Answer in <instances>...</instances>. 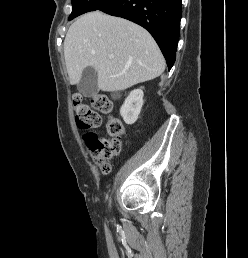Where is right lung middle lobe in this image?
Wrapping results in <instances>:
<instances>
[{
	"label": "right lung middle lobe",
	"mask_w": 248,
	"mask_h": 258,
	"mask_svg": "<svg viewBox=\"0 0 248 258\" xmlns=\"http://www.w3.org/2000/svg\"><path fill=\"white\" fill-rule=\"evenodd\" d=\"M112 1L113 0H72V12L68 20H72L86 12L98 10Z\"/></svg>",
	"instance_id": "1"
}]
</instances>
